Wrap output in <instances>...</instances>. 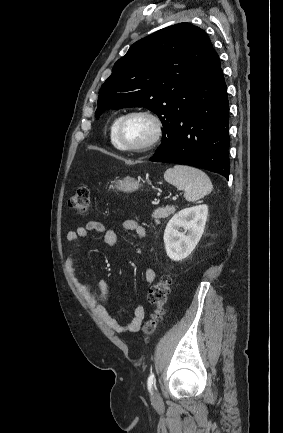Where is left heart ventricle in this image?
I'll return each mask as SVG.
<instances>
[{
	"label": "left heart ventricle",
	"mask_w": 283,
	"mask_h": 433,
	"mask_svg": "<svg viewBox=\"0 0 283 433\" xmlns=\"http://www.w3.org/2000/svg\"><path fill=\"white\" fill-rule=\"evenodd\" d=\"M154 134L153 122L141 115L132 116L122 127L121 139L126 145H139L147 142Z\"/></svg>",
	"instance_id": "obj_1"
}]
</instances>
